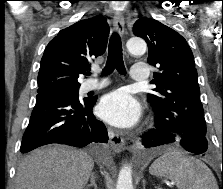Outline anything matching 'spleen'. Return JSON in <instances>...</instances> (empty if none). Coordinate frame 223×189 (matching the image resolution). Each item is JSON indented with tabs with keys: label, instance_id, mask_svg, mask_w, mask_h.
Returning <instances> with one entry per match:
<instances>
[{
	"label": "spleen",
	"instance_id": "spleen-1",
	"mask_svg": "<svg viewBox=\"0 0 223 189\" xmlns=\"http://www.w3.org/2000/svg\"><path fill=\"white\" fill-rule=\"evenodd\" d=\"M149 172L171 180L179 189H218L214 175L203 162L177 150L160 156Z\"/></svg>",
	"mask_w": 223,
	"mask_h": 189
}]
</instances>
